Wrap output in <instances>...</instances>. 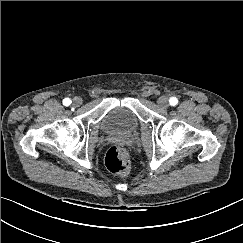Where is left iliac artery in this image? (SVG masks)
Instances as JSON below:
<instances>
[{
  "instance_id": "left-iliac-artery-1",
  "label": "left iliac artery",
  "mask_w": 243,
  "mask_h": 243,
  "mask_svg": "<svg viewBox=\"0 0 243 243\" xmlns=\"http://www.w3.org/2000/svg\"><path fill=\"white\" fill-rule=\"evenodd\" d=\"M169 103L170 105L175 106L178 103V99L176 97H171Z\"/></svg>"
}]
</instances>
